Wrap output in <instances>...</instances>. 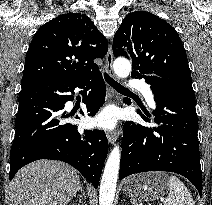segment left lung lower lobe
Returning <instances> with one entry per match:
<instances>
[{
	"instance_id": "left-lung-lower-lobe-1",
	"label": "left lung lower lobe",
	"mask_w": 212,
	"mask_h": 205,
	"mask_svg": "<svg viewBox=\"0 0 212 205\" xmlns=\"http://www.w3.org/2000/svg\"><path fill=\"white\" fill-rule=\"evenodd\" d=\"M151 85L156 109L147 128L126 122L119 179L146 171H170L189 179L202 194V173L198 144V119L192 84L157 75H142ZM144 121L150 114L138 110Z\"/></svg>"
}]
</instances>
